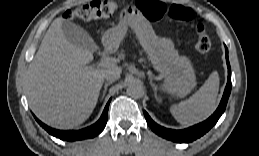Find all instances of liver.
<instances>
[{
	"label": "liver",
	"mask_w": 259,
	"mask_h": 156,
	"mask_svg": "<svg viewBox=\"0 0 259 156\" xmlns=\"http://www.w3.org/2000/svg\"><path fill=\"white\" fill-rule=\"evenodd\" d=\"M62 17L56 18L45 33L31 61L26 78L27 97L31 110L45 124L72 128L86 121L93 112L104 75L118 66L104 69L88 64L93 54L67 41L63 34ZM108 32L103 39H107Z\"/></svg>",
	"instance_id": "liver-1"
}]
</instances>
